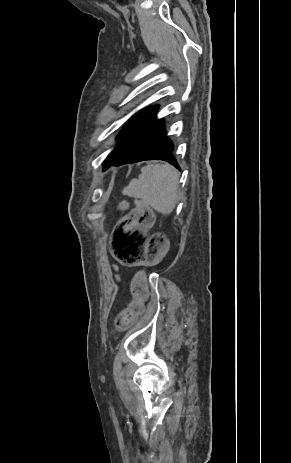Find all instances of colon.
<instances>
[{
  "label": "colon",
  "mask_w": 291,
  "mask_h": 463,
  "mask_svg": "<svg viewBox=\"0 0 291 463\" xmlns=\"http://www.w3.org/2000/svg\"><path fill=\"white\" fill-rule=\"evenodd\" d=\"M152 222V209L141 201H137L134 209L118 221L110 241L111 254L118 263L124 266L141 265L165 250L166 239L163 233H154L147 237L142 231ZM133 291L137 297L144 296L145 286L142 277L135 282ZM139 310L140 306L134 303L120 312L116 318V327L125 328Z\"/></svg>",
  "instance_id": "colon-1"
}]
</instances>
